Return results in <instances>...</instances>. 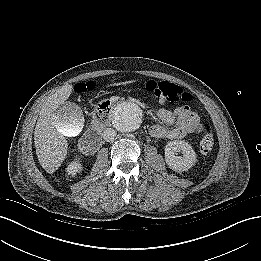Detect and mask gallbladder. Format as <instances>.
Masks as SVG:
<instances>
[{
    "label": "gallbladder",
    "instance_id": "1",
    "mask_svg": "<svg viewBox=\"0 0 261 261\" xmlns=\"http://www.w3.org/2000/svg\"><path fill=\"white\" fill-rule=\"evenodd\" d=\"M52 123L65 136L74 138L81 133L85 116L78 105L65 102L54 113Z\"/></svg>",
    "mask_w": 261,
    "mask_h": 261
}]
</instances>
